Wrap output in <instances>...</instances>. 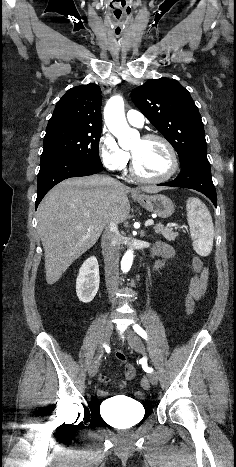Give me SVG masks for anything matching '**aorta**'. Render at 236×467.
Instances as JSON below:
<instances>
[{
	"label": "aorta",
	"mask_w": 236,
	"mask_h": 467,
	"mask_svg": "<svg viewBox=\"0 0 236 467\" xmlns=\"http://www.w3.org/2000/svg\"><path fill=\"white\" fill-rule=\"evenodd\" d=\"M104 119L109 131L118 139L119 144L124 146L125 140L133 134V131L125 118L124 100L122 96L115 95L107 101L104 108ZM133 258V250H127L121 261V269L124 273L130 270Z\"/></svg>",
	"instance_id": "obj_1"
}]
</instances>
